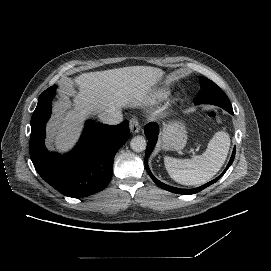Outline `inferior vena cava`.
Wrapping results in <instances>:
<instances>
[{"label": "inferior vena cava", "instance_id": "602c4592", "mask_svg": "<svg viewBox=\"0 0 271 271\" xmlns=\"http://www.w3.org/2000/svg\"><path fill=\"white\" fill-rule=\"evenodd\" d=\"M99 119L108 125H118L123 121V114L119 109L113 108L101 113Z\"/></svg>", "mask_w": 271, "mask_h": 271}]
</instances>
